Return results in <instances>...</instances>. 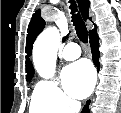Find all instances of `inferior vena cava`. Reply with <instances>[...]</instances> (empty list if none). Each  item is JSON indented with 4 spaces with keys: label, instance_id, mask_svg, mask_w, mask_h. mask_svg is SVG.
<instances>
[{
    "label": "inferior vena cava",
    "instance_id": "1",
    "mask_svg": "<svg viewBox=\"0 0 121 113\" xmlns=\"http://www.w3.org/2000/svg\"><path fill=\"white\" fill-rule=\"evenodd\" d=\"M80 109H81V103L80 102H77V101L72 102L71 113H79Z\"/></svg>",
    "mask_w": 121,
    "mask_h": 113
}]
</instances>
